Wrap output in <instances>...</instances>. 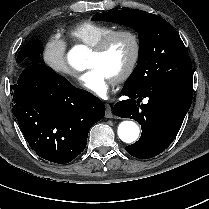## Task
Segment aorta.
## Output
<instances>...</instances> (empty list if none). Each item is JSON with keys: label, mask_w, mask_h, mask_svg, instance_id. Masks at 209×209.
Segmentation results:
<instances>
[{"label": "aorta", "mask_w": 209, "mask_h": 209, "mask_svg": "<svg viewBox=\"0 0 209 209\" xmlns=\"http://www.w3.org/2000/svg\"><path fill=\"white\" fill-rule=\"evenodd\" d=\"M88 49L84 45L74 46L67 55L70 66L76 70H85L87 68ZM139 126L133 121H123L118 126V136L126 143H133L139 137Z\"/></svg>", "instance_id": "aorta-1"}]
</instances>
